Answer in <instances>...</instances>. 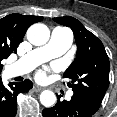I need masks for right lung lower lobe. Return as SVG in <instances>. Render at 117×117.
I'll use <instances>...</instances> for the list:
<instances>
[{
	"label": "right lung lower lobe",
	"instance_id": "98d812e1",
	"mask_svg": "<svg viewBox=\"0 0 117 117\" xmlns=\"http://www.w3.org/2000/svg\"><path fill=\"white\" fill-rule=\"evenodd\" d=\"M32 86V82L26 79L21 83H9L8 87H5L0 78V117H15L17 95L28 92Z\"/></svg>",
	"mask_w": 117,
	"mask_h": 117
}]
</instances>
